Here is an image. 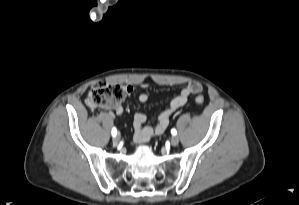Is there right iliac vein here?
<instances>
[{
	"label": "right iliac vein",
	"mask_w": 299,
	"mask_h": 205,
	"mask_svg": "<svg viewBox=\"0 0 299 205\" xmlns=\"http://www.w3.org/2000/svg\"><path fill=\"white\" fill-rule=\"evenodd\" d=\"M119 140H120V135H119V134L116 135V136H114L113 141H114L115 143H118Z\"/></svg>",
	"instance_id": "obj_1"
}]
</instances>
